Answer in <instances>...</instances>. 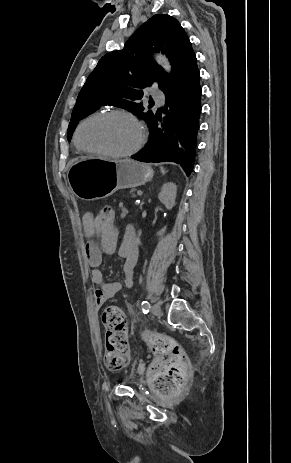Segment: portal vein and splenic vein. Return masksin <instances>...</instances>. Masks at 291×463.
Masks as SVG:
<instances>
[{
    "instance_id": "obj_1",
    "label": "portal vein and splenic vein",
    "mask_w": 291,
    "mask_h": 463,
    "mask_svg": "<svg viewBox=\"0 0 291 463\" xmlns=\"http://www.w3.org/2000/svg\"><path fill=\"white\" fill-rule=\"evenodd\" d=\"M137 193H138V195H141V194H142V191H138Z\"/></svg>"
}]
</instances>
